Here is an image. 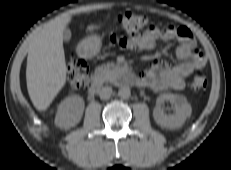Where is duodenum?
Segmentation results:
<instances>
[{
	"label": "duodenum",
	"mask_w": 231,
	"mask_h": 170,
	"mask_svg": "<svg viewBox=\"0 0 231 170\" xmlns=\"http://www.w3.org/2000/svg\"><path fill=\"white\" fill-rule=\"evenodd\" d=\"M103 82V77L101 75H96L92 78L88 90L90 98H93L95 95L98 94V92L102 88ZM117 82L120 84H137L139 83V80L128 67L122 65L119 70Z\"/></svg>",
	"instance_id": "1"
}]
</instances>
